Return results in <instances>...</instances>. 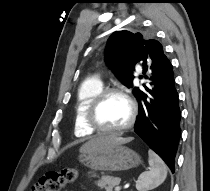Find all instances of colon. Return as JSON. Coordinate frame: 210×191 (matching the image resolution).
Returning <instances> with one entry per match:
<instances>
[{"instance_id":"obj_1","label":"colon","mask_w":210,"mask_h":191,"mask_svg":"<svg viewBox=\"0 0 210 191\" xmlns=\"http://www.w3.org/2000/svg\"><path fill=\"white\" fill-rule=\"evenodd\" d=\"M77 177L78 171L72 167L60 171H49L33 186L32 191H61L66 185L73 183Z\"/></svg>"}]
</instances>
